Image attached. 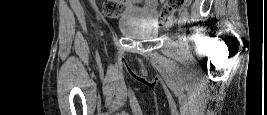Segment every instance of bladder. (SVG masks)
I'll list each match as a JSON object with an SVG mask.
<instances>
[{
  "mask_svg": "<svg viewBox=\"0 0 267 115\" xmlns=\"http://www.w3.org/2000/svg\"><path fill=\"white\" fill-rule=\"evenodd\" d=\"M120 30L123 34L136 39L154 38L159 33V29L155 25H150V24H140V25L121 24Z\"/></svg>",
  "mask_w": 267,
  "mask_h": 115,
  "instance_id": "bladder-1",
  "label": "bladder"
}]
</instances>
